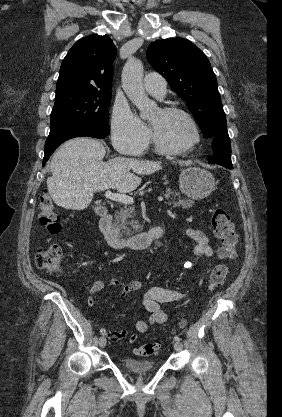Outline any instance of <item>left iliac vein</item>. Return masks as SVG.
<instances>
[{
  "mask_svg": "<svg viewBox=\"0 0 282 417\" xmlns=\"http://www.w3.org/2000/svg\"><path fill=\"white\" fill-rule=\"evenodd\" d=\"M182 348H183V344H182L180 341H176V342L174 343V349H175L176 351H181V350H182Z\"/></svg>",
  "mask_w": 282,
  "mask_h": 417,
  "instance_id": "obj_1",
  "label": "left iliac vein"
}]
</instances>
